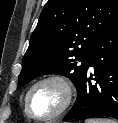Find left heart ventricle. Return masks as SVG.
Here are the masks:
<instances>
[{
    "instance_id": "b2bd125f",
    "label": "left heart ventricle",
    "mask_w": 118,
    "mask_h": 123,
    "mask_svg": "<svg viewBox=\"0 0 118 123\" xmlns=\"http://www.w3.org/2000/svg\"><path fill=\"white\" fill-rule=\"evenodd\" d=\"M64 100V92L55 83L38 86L30 96V108L34 115L46 117L55 113Z\"/></svg>"
}]
</instances>
